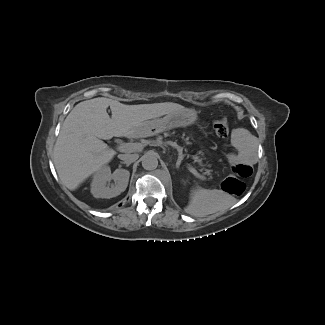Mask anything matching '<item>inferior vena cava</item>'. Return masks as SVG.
Here are the masks:
<instances>
[{"label": "inferior vena cava", "mask_w": 325, "mask_h": 325, "mask_svg": "<svg viewBox=\"0 0 325 325\" xmlns=\"http://www.w3.org/2000/svg\"><path fill=\"white\" fill-rule=\"evenodd\" d=\"M138 154H120L118 158L126 163H133L138 159Z\"/></svg>", "instance_id": "1"}]
</instances>
